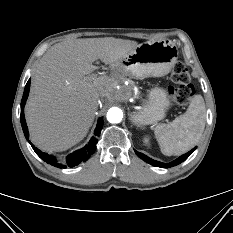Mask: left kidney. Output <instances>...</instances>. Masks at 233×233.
Here are the masks:
<instances>
[{
	"mask_svg": "<svg viewBox=\"0 0 233 233\" xmlns=\"http://www.w3.org/2000/svg\"><path fill=\"white\" fill-rule=\"evenodd\" d=\"M144 142L147 144L149 142V139L148 138H145L144 139Z\"/></svg>",
	"mask_w": 233,
	"mask_h": 233,
	"instance_id": "obj_1",
	"label": "left kidney"
}]
</instances>
